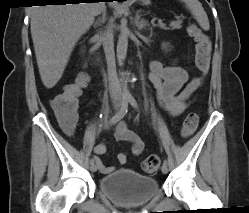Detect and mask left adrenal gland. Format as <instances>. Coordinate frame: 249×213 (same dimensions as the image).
Here are the masks:
<instances>
[{
    "instance_id": "obj_1",
    "label": "left adrenal gland",
    "mask_w": 249,
    "mask_h": 213,
    "mask_svg": "<svg viewBox=\"0 0 249 213\" xmlns=\"http://www.w3.org/2000/svg\"><path fill=\"white\" fill-rule=\"evenodd\" d=\"M135 25L139 30H142L143 28H145L146 26H149L148 21L144 20V19H140V15L137 14L136 18H135Z\"/></svg>"
}]
</instances>
